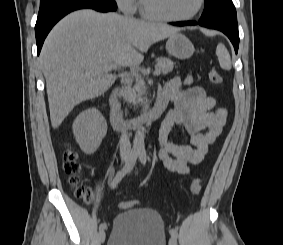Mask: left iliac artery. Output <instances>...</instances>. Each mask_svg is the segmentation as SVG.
Instances as JSON below:
<instances>
[{"instance_id":"1","label":"left iliac artery","mask_w":283,"mask_h":245,"mask_svg":"<svg viewBox=\"0 0 283 245\" xmlns=\"http://www.w3.org/2000/svg\"><path fill=\"white\" fill-rule=\"evenodd\" d=\"M139 159H140V162L145 165L146 164V152L144 149H141L139 151ZM169 233L172 237H174L175 239L178 237V232L176 229L172 228L169 230Z\"/></svg>"}]
</instances>
